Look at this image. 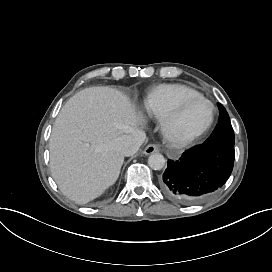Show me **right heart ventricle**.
<instances>
[{"label":"right heart ventricle","mask_w":272,"mask_h":272,"mask_svg":"<svg viewBox=\"0 0 272 272\" xmlns=\"http://www.w3.org/2000/svg\"><path fill=\"white\" fill-rule=\"evenodd\" d=\"M196 94H199L198 91L186 86L160 85L149 94L145 101V110L150 115H168L183 98Z\"/></svg>","instance_id":"e07e8e85"}]
</instances>
